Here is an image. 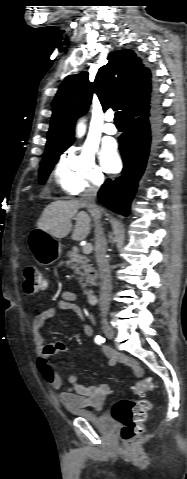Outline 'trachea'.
<instances>
[{"mask_svg": "<svg viewBox=\"0 0 187 479\" xmlns=\"http://www.w3.org/2000/svg\"><path fill=\"white\" fill-rule=\"evenodd\" d=\"M114 121H115L116 125L124 124V119H123L122 112L118 111V112L115 113Z\"/></svg>", "mask_w": 187, "mask_h": 479, "instance_id": "1", "label": "trachea"}]
</instances>
